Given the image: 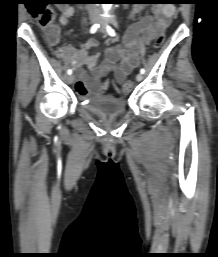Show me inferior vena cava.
<instances>
[{
	"instance_id": "inferior-vena-cava-1",
	"label": "inferior vena cava",
	"mask_w": 218,
	"mask_h": 257,
	"mask_svg": "<svg viewBox=\"0 0 218 257\" xmlns=\"http://www.w3.org/2000/svg\"><path fill=\"white\" fill-rule=\"evenodd\" d=\"M97 6H99V5L98 4H90V8L91 9H98Z\"/></svg>"
}]
</instances>
